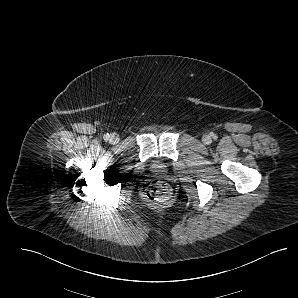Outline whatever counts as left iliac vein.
<instances>
[{"instance_id": "1", "label": "left iliac vein", "mask_w": 298, "mask_h": 298, "mask_svg": "<svg viewBox=\"0 0 298 298\" xmlns=\"http://www.w3.org/2000/svg\"><path fill=\"white\" fill-rule=\"evenodd\" d=\"M202 141L206 144L210 143L211 142V138L208 136V135H204L202 137Z\"/></svg>"}]
</instances>
